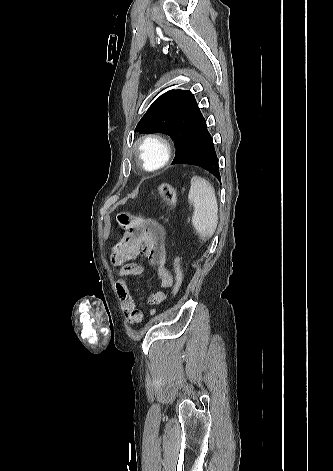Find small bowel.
<instances>
[{
    "label": "small bowel",
    "mask_w": 333,
    "mask_h": 471,
    "mask_svg": "<svg viewBox=\"0 0 333 471\" xmlns=\"http://www.w3.org/2000/svg\"><path fill=\"white\" fill-rule=\"evenodd\" d=\"M119 223L125 228L121 240L111 248L110 262L118 267V278L114 283V291L125 319L130 324H139L144 319L127 286L124 278L127 276H140L145 272L143 265L130 262L139 255L146 258L158 275L160 286L168 289L173 286L174 280L171 272L166 268V233L164 228L155 220L142 217H130L126 214L118 216ZM167 295L164 291L152 293L148 298L151 306L164 303ZM156 309L152 308L150 314L154 315Z\"/></svg>",
    "instance_id": "c3829d8e"
}]
</instances>
